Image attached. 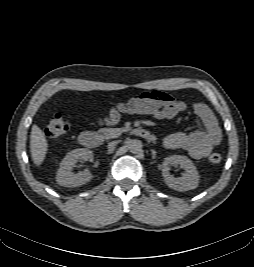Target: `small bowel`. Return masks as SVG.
<instances>
[{
    "instance_id": "1",
    "label": "small bowel",
    "mask_w": 254,
    "mask_h": 267,
    "mask_svg": "<svg viewBox=\"0 0 254 267\" xmlns=\"http://www.w3.org/2000/svg\"><path fill=\"white\" fill-rule=\"evenodd\" d=\"M189 105L160 91L144 92L125 102L115 104L107 116L97 121L98 124L116 125L123 113L152 115L157 119H173L186 112ZM194 114L202 122V127L190 133L177 132L167 135L162 145L167 150L181 149L194 159H202L210 154L213 147L221 140V130L217 120L204 103L191 106Z\"/></svg>"
}]
</instances>
